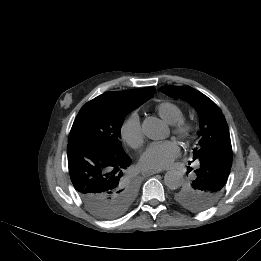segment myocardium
I'll list each match as a JSON object with an SVG mask.
<instances>
[{"mask_svg": "<svg viewBox=\"0 0 261 261\" xmlns=\"http://www.w3.org/2000/svg\"><path fill=\"white\" fill-rule=\"evenodd\" d=\"M195 132V124L187 119H182L173 125V133L182 140H189Z\"/></svg>", "mask_w": 261, "mask_h": 261, "instance_id": "1", "label": "myocardium"}]
</instances>
